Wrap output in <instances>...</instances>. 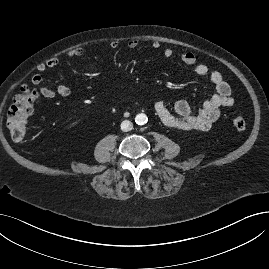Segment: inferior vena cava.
I'll return each mask as SVG.
<instances>
[{
  "label": "inferior vena cava",
  "instance_id": "obj_1",
  "mask_svg": "<svg viewBox=\"0 0 269 269\" xmlns=\"http://www.w3.org/2000/svg\"><path fill=\"white\" fill-rule=\"evenodd\" d=\"M132 128H133V124L128 120H125L121 123V130L122 131L127 132V131H130Z\"/></svg>",
  "mask_w": 269,
  "mask_h": 269
}]
</instances>
